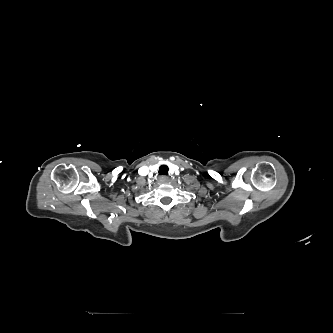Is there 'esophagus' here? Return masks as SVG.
I'll list each match as a JSON object with an SVG mask.
<instances>
[{
	"label": "esophagus",
	"mask_w": 333,
	"mask_h": 333,
	"mask_svg": "<svg viewBox=\"0 0 333 333\" xmlns=\"http://www.w3.org/2000/svg\"><path fill=\"white\" fill-rule=\"evenodd\" d=\"M169 181V178L165 175L160 176L159 182L160 183H167Z\"/></svg>",
	"instance_id": "34e87169"
}]
</instances>
